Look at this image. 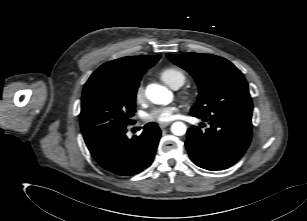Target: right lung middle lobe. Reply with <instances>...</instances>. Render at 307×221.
I'll list each match as a JSON object with an SVG mask.
<instances>
[{
  "mask_svg": "<svg viewBox=\"0 0 307 221\" xmlns=\"http://www.w3.org/2000/svg\"><path fill=\"white\" fill-rule=\"evenodd\" d=\"M139 80L106 77L88 80L84 85L80 126L86 144L126 127L135 111Z\"/></svg>",
  "mask_w": 307,
  "mask_h": 221,
  "instance_id": "dd1d6c3e",
  "label": "right lung middle lobe"
}]
</instances>
